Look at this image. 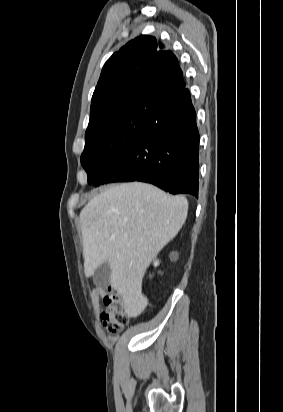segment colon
I'll use <instances>...</instances> for the list:
<instances>
[{
	"label": "colon",
	"mask_w": 283,
	"mask_h": 412,
	"mask_svg": "<svg viewBox=\"0 0 283 412\" xmlns=\"http://www.w3.org/2000/svg\"><path fill=\"white\" fill-rule=\"evenodd\" d=\"M106 310L101 314L102 327L112 336H117L129 321L125 303L117 291H110L104 298Z\"/></svg>",
	"instance_id": "5ec220e1"
}]
</instances>
